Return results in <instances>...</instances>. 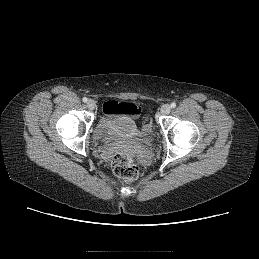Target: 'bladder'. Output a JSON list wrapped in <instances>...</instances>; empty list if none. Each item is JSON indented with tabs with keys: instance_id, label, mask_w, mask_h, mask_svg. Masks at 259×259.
Segmentation results:
<instances>
[{
	"instance_id": "1",
	"label": "bladder",
	"mask_w": 259,
	"mask_h": 259,
	"mask_svg": "<svg viewBox=\"0 0 259 259\" xmlns=\"http://www.w3.org/2000/svg\"><path fill=\"white\" fill-rule=\"evenodd\" d=\"M136 134L137 128L132 119H115L103 135L110 139H120L133 137Z\"/></svg>"
}]
</instances>
